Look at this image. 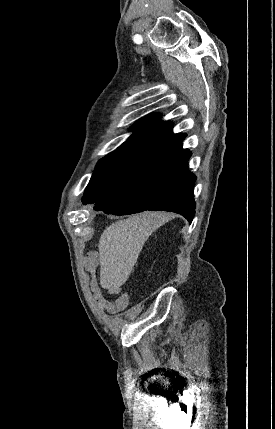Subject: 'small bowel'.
<instances>
[{
  "instance_id": "small-bowel-1",
  "label": "small bowel",
  "mask_w": 275,
  "mask_h": 429,
  "mask_svg": "<svg viewBox=\"0 0 275 429\" xmlns=\"http://www.w3.org/2000/svg\"><path fill=\"white\" fill-rule=\"evenodd\" d=\"M110 293L116 294L115 300L107 299L103 296L102 290L98 285L92 286V293L96 304L109 313H115L125 309L130 303V295L127 291L117 287H108Z\"/></svg>"
}]
</instances>
